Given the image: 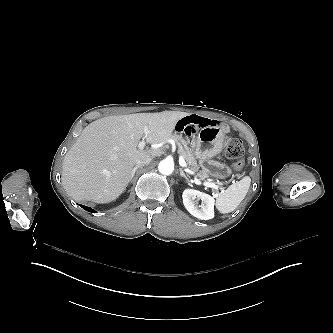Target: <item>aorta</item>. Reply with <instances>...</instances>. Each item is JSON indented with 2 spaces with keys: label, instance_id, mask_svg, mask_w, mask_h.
Returning a JSON list of instances; mask_svg holds the SVG:
<instances>
[{
  "label": "aorta",
  "instance_id": "762f6f07",
  "mask_svg": "<svg viewBox=\"0 0 333 333\" xmlns=\"http://www.w3.org/2000/svg\"><path fill=\"white\" fill-rule=\"evenodd\" d=\"M158 170L163 175H170L174 170V163L171 160L164 159L158 165Z\"/></svg>",
  "mask_w": 333,
  "mask_h": 333
}]
</instances>
